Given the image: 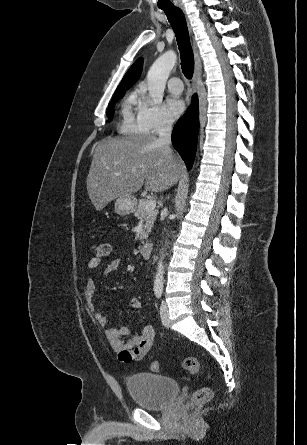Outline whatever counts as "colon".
I'll list each match as a JSON object with an SVG mask.
<instances>
[{
    "label": "colon",
    "mask_w": 307,
    "mask_h": 445,
    "mask_svg": "<svg viewBox=\"0 0 307 445\" xmlns=\"http://www.w3.org/2000/svg\"><path fill=\"white\" fill-rule=\"evenodd\" d=\"M95 256L98 260H104L108 258L111 254V245L109 243H100L93 247ZM183 368L191 373L192 375H199L200 373V365L196 358L187 357L183 361ZM161 369V365L159 362H154L152 364L153 371H159ZM212 398V390L209 387H201L196 389L190 400L191 407H201L208 403Z\"/></svg>",
    "instance_id": "1"
}]
</instances>
